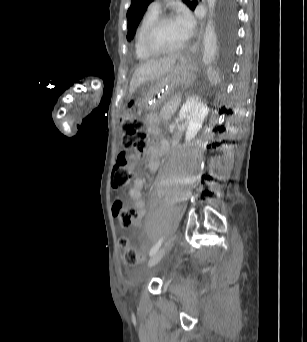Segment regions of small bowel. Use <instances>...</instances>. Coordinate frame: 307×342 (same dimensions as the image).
<instances>
[{
  "mask_svg": "<svg viewBox=\"0 0 307 342\" xmlns=\"http://www.w3.org/2000/svg\"><path fill=\"white\" fill-rule=\"evenodd\" d=\"M169 143L166 140L161 142L160 148L151 146L147 151V166L150 170H156L159 167V156L161 152L168 150ZM144 182L141 178H134L128 195L132 201V205L137 211V217L133 222V226L137 227L141 224L142 218L145 215V203L142 198V189Z\"/></svg>",
  "mask_w": 307,
  "mask_h": 342,
  "instance_id": "small-bowel-1",
  "label": "small bowel"
}]
</instances>
